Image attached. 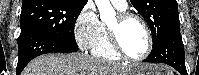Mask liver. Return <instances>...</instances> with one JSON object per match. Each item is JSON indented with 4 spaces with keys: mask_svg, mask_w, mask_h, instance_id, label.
<instances>
[{
    "mask_svg": "<svg viewBox=\"0 0 199 75\" xmlns=\"http://www.w3.org/2000/svg\"><path fill=\"white\" fill-rule=\"evenodd\" d=\"M131 67L83 53L47 54L32 60L22 75H127Z\"/></svg>",
    "mask_w": 199,
    "mask_h": 75,
    "instance_id": "obj_1",
    "label": "liver"
}]
</instances>
